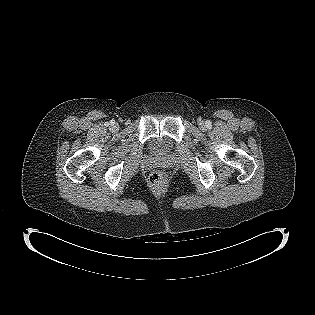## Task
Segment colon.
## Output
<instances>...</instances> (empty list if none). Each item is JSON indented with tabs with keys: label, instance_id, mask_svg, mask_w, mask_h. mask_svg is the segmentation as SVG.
<instances>
[{
	"label": "colon",
	"instance_id": "1",
	"mask_svg": "<svg viewBox=\"0 0 315 315\" xmlns=\"http://www.w3.org/2000/svg\"><path fill=\"white\" fill-rule=\"evenodd\" d=\"M170 176L164 170H155L149 176V182L154 187H163L169 182Z\"/></svg>",
	"mask_w": 315,
	"mask_h": 315
}]
</instances>
